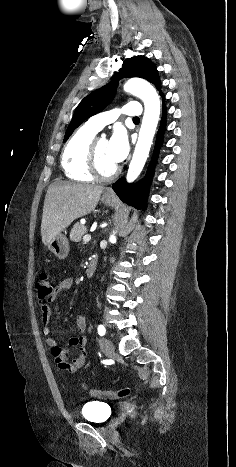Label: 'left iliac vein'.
Returning a JSON list of instances; mask_svg holds the SVG:
<instances>
[{
  "label": "left iliac vein",
  "mask_w": 236,
  "mask_h": 467,
  "mask_svg": "<svg viewBox=\"0 0 236 467\" xmlns=\"http://www.w3.org/2000/svg\"><path fill=\"white\" fill-rule=\"evenodd\" d=\"M99 345H100L101 350L106 355L110 356V355H112L114 353V346H113L112 342L109 339H107L105 337L100 338Z\"/></svg>",
  "instance_id": "4c4485c4"
}]
</instances>
